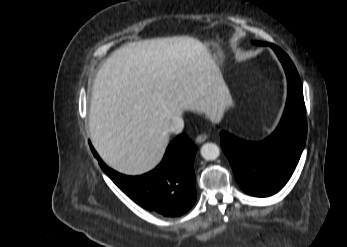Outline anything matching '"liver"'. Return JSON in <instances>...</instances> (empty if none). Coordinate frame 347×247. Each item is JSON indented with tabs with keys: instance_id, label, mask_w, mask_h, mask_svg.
<instances>
[{
	"instance_id": "1",
	"label": "liver",
	"mask_w": 347,
	"mask_h": 247,
	"mask_svg": "<svg viewBox=\"0 0 347 247\" xmlns=\"http://www.w3.org/2000/svg\"><path fill=\"white\" fill-rule=\"evenodd\" d=\"M231 96L205 44L189 36L146 39L115 50L99 69L89 131L103 161L141 175L161 161L168 127L185 110L219 120Z\"/></svg>"
}]
</instances>
